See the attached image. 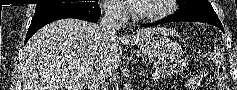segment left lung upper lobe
<instances>
[{
	"label": "left lung upper lobe",
	"instance_id": "5c2ea615",
	"mask_svg": "<svg viewBox=\"0 0 237 90\" xmlns=\"http://www.w3.org/2000/svg\"><path fill=\"white\" fill-rule=\"evenodd\" d=\"M177 2L179 4V10L176 14L220 21L212 5L207 0H177Z\"/></svg>",
	"mask_w": 237,
	"mask_h": 90
}]
</instances>
